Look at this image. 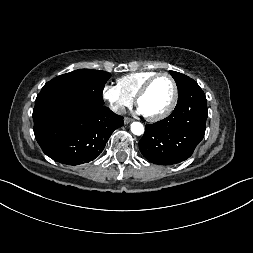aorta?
Returning <instances> with one entry per match:
<instances>
[{
	"label": "aorta",
	"instance_id": "aorta-1",
	"mask_svg": "<svg viewBox=\"0 0 253 253\" xmlns=\"http://www.w3.org/2000/svg\"><path fill=\"white\" fill-rule=\"evenodd\" d=\"M131 131L135 135H142L144 133V126L140 122H133L131 124Z\"/></svg>",
	"mask_w": 253,
	"mask_h": 253
}]
</instances>
